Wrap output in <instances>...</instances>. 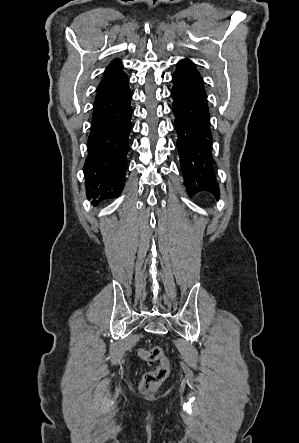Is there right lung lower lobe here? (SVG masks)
<instances>
[{
	"label": "right lung lower lobe",
	"instance_id": "1",
	"mask_svg": "<svg viewBox=\"0 0 299 443\" xmlns=\"http://www.w3.org/2000/svg\"><path fill=\"white\" fill-rule=\"evenodd\" d=\"M131 92L124 73L97 90L85 162L86 193L94 206L118 196L124 186Z\"/></svg>",
	"mask_w": 299,
	"mask_h": 443
}]
</instances>
